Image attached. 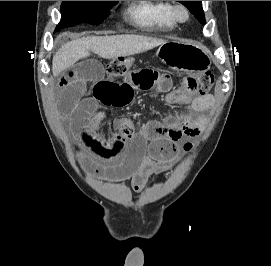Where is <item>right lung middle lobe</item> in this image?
Segmentation results:
<instances>
[{
  "label": "right lung middle lobe",
  "mask_w": 271,
  "mask_h": 266,
  "mask_svg": "<svg viewBox=\"0 0 271 266\" xmlns=\"http://www.w3.org/2000/svg\"><path fill=\"white\" fill-rule=\"evenodd\" d=\"M116 3L117 1H63L62 17L56 31L79 23L98 24L106 18L109 9Z\"/></svg>",
  "instance_id": "1"
}]
</instances>
